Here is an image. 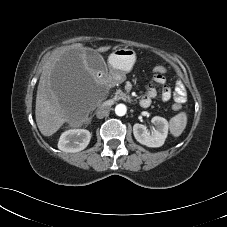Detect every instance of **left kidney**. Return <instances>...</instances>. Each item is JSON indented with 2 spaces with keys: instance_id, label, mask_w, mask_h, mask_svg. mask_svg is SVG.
<instances>
[{
  "instance_id": "5707ae66",
  "label": "left kidney",
  "mask_w": 227,
  "mask_h": 227,
  "mask_svg": "<svg viewBox=\"0 0 227 227\" xmlns=\"http://www.w3.org/2000/svg\"><path fill=\"white\" fill-rule=\"evenodd\" d=\"M151 121L155 125L153 134L149 133L145 125L136 123L133 126L134 137L140 144L147 147H160L168 134V121L159 116L153 117Z\"/></svg>"
}]
</instances>
